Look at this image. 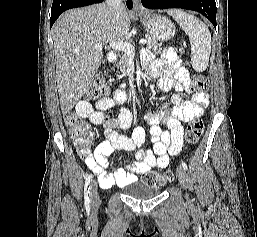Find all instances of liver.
Wrapping results in <instances>:
<instances>
[{"mask_svg": "<svg viewBox=\"0 0 257 237\" xmlns=\"http://www.w3.org/2000/svg\"><path fill=\"white\" fill-rule=\"evenodd\" d=\"M126 10L115 21L107 4H95L64 12L53 26L56 80L61 111L69 113L93 80L103 59L102 43L122 42L129 33Z\"/></svg>", "mask_w": 257, "mask_h": 237, "instance_id": "liver-1", "label": "liver"}]
</instances>
